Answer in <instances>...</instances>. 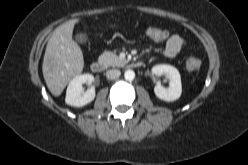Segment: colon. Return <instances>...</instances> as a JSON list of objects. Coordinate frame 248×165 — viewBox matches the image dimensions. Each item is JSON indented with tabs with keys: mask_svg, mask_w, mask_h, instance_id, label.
I'll list each match as a JSON object with an SVG mask.
<instances>
[{
	"mask_svg": "<svg viewBox=\"0 0 248 165\" xmlns=\"http://www.w3.org/2000/svg\"><path fill=\"white\" fill-rule=\"evenodd\" d=\"M148 31V32H147ZM148 33V37L156 40L161 41L168 37V32L165 30L157 29V28H148L146 30V34ZM201 66V61L196 57H190L186 61V67L190 71H195L199 69Z\"/></svg>",
	"mask_w": 248,
	"mask_h": 165,
	"instance_id": "1",
	"label": "colon"
}]
</instances>
